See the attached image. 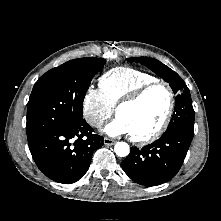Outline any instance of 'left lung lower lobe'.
<instances>
[{
	"label": "left lung lower lobe",
	"mask_w": 221,
	"mask_h": 221,
	"mask_svg": "<svg viewBox=\"0 0 221 221\" xmlns=\"http://www.w3.org/2000/svg\"><path fill=\"white\" fill-rule=\"evenodd\" d=\"M193 137L180 133L163 134L155 142L132 147L122 168L136 183L156 186L172 179L181 168Z\"/></svg>",
	"instance_id": "0a47b994"
}]
</instances>
